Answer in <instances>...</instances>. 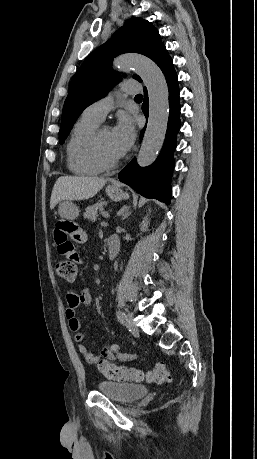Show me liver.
I'll use <instances>...</instances> for the list:
<instances>
[{
	"label": "liver",
	"instance_id": "1",
	"mask_svg": "<svg viewBox=\"0 0 257 459\" xmlns=\"http://www.w3.org/2000/svg\"><path fill=\"white\" fill-rule=\"evenodd\" d=\"M107 179L86 176H61L53 187L50 208L54 207L62 200H87L92 198L106 184Z\"/></svg>",
	"mask_w": 257,
	"mask_h": 459
}]
</instances>
